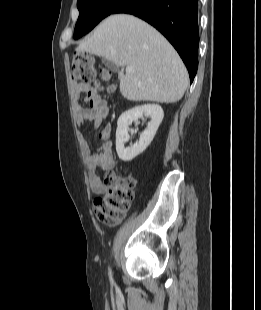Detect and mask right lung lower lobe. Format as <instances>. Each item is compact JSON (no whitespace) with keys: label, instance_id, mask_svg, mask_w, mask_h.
Segmentation results:
<instances>
[{"label":"right lung lower lobe","instance_id":"obj_1","mask_svg":"<svg viewBox=\"0 0 261 310\" xmlns=\"http://www.w3.org/2000/svg\"><path fill=\"white\" fill-rule=\"evenodd\" d=\"M198 0H125L113 12L133 14L154 26L174 46L192 83L198 67Z\"/></svg>","mask_w":261,"mask_h":310}]
</instances>
